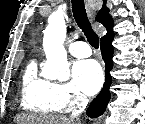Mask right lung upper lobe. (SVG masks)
Returning a JSON list of instances; mask_svg holds the SVG:
<instances>
[{
	"instance_id": "1",
	"label": "right lung upper lobe",
	"mask_w": 145,
	"mask_h": 124,
	"mask_svg": "<svg viewBox=\"0 0 145 124\" xmlns=\"http://www.w3.org/2000/svg\"><path fill=\"white\" fill-rule=\"evenodd\" d=\"M106 1L103 0V6L96 16V21L102 23L106 28L107 32L113 29V21L109 15V9L106 7Z\"/></svg>"
}]
</instances>
